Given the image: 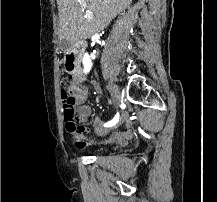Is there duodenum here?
I'll return each mask as SVG.
<instances>
[{"mask_svg": "<svg viewBox=\"0 0 217 202\" xmlns=\"http://www.w3.org/2000/svg\"><path fill=\"white\" fill-rule=\"evenodd\" d=\"M83 51V45L78 44L74 47L72 51H70L66 56H65V66L66 69L73 73L78 79L83 80L84 77L82 75L80 66H79V60L81 53Z\"/></svg>", "mask_w": 217, "mask_h": 202, "instance_id": "obj_1", "label": "duodenum"}]
</instances>
